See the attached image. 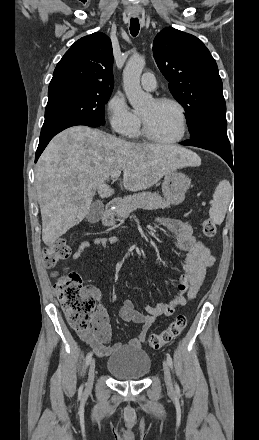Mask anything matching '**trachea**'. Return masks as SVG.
Listing matches in <instances>:
<instances>
[{
	"mask_svg": "<svg viewBox=\"0 0 259 440\" xmlns=\"http://www.w3.org/2000/svg\"><path fill=\"white\" fill-rule=\"evenodd\" d=\"M140 25L138 18H131L130 20V33L132 36H136L139 32Z\"/></svg>",
	"mask_w": 259,
	"mask_h": 440,
	"instance_id": "1",
	"label": "trachea"
}]
</instances>
